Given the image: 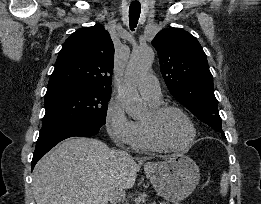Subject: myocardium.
<instances>
[{
  "label": "myocardium",
  "mask_w": 261,
  "mask_h": 204,
  "mask_svg": "<svg viewBox=\"0 0 261 204\" xmlns=\"http://www.w3.org/2000/svg\"><path fill=\"white\" fill-rule=\"evenodd\" d=\"M169 112H177L181 114L186 121L188 122L190 128H191V137L190 139L184 144L180 146H175L170 143H168L164 137L161 134L160 131V123L162 118ZM144 124L146 126V129L152 138V140L161 148L165 150L170 151H183L188 149L195 141L197 137V129L195 126V123L191 116L186 112L183 108L177 105L172 104H161L157 107L151 108L148 116L144 120Z\"/></svg>",
  "instance_id": "1"
}]
</instances>
